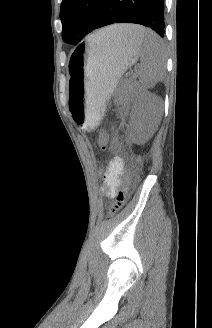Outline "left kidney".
Returning <instances> with one entry per match:
<instances>
[{"instance_id":"5707ae66","label":"left kidney","mask_w":212,"mask_h":328,"mask_svg":"<svg viewBox=\"0 0 212 328\" xmlns=\"http://www.w3.org/2000/svg\"><path fill=\"white\" fill-rule=\"evenodd\" d=\"M162 114V101L156 95L141 93L133 103L129 131L136 143L148 140L156 131Z\"/></svg>"}]
</instances>
